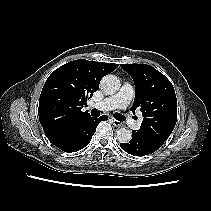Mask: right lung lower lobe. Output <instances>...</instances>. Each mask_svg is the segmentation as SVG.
Segmentation results:
<instances>
[{
  "instance_id": "right-lung-lower-lobe-1",
  "label": "right lung lower lobe",
  "mask_w": 211,
  "mask_h": 211,
  "mask_svg": "<svg viewBox=\"0 0 211 211\" xmlns=\"http://www.w3.org/2000/svg\"><path fill=\"white\" fill-rule=\"evenodd\" d=\"M106 116L100 118H89L81 121L67 130L53 144L59 149L71 153L83 149L90 142L96 127L100 121L106 120Z\"/></svg>"
}]
</instances>
